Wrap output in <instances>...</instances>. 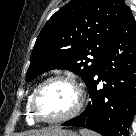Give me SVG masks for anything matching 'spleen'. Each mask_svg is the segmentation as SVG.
Returning <instances> with one entry per match:
<instances>
[{
	"mask_svg": "<svg viewBox=\"0 0 136 136\" xmlns=\"http://www.w3.org/2000/svg\"><path fill=\"white\" fill-rule=\"evenodd\" d=\"M80 133L82 136H99L93 132L87 131V130H80Z\"/></svg>",
	"mask_w": 136,
	"mask_h": 136,
	"instance_id": "1",
	"label": "spleen"
}]
</instances>
